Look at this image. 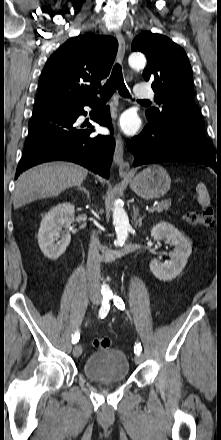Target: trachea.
<instances>
[{
	"instance_id": "obj_1",
	"label": "trachea",
	"mask_w": 221,
	"mask_h": 440,
	"mask_svg": "<svg viewBox=\"0 0 221 440\" xmlns=\"http://www.w3.org/2000/svg\"><path fill=\"white\" fill-rule=\"evenodd\" d=\"M116 89L122 97L130 98V93L124 83L122 68L118 63L113 67L106 84L100 89L102 99H109ZM142 102H148V100H142Z\"/></svg>"
}]
</instances>
